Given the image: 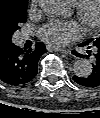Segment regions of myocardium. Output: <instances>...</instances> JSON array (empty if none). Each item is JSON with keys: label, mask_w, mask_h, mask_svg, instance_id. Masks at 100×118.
Returning a JSON list of instances; mask_svg holds the SVG:
<instances>
[{"label": "myocardium", "mask_w": 100, "mask_h": 118, "mask_svg": "<svg viewBox=\"0 0 100 118\" xmlns=\"http://www.w3.org/2000/svg\"><path fill=\"white\" fill-rule=\"evenodd\" d=\"M94 6L95 17L87 18L88 9ZM74 12L87 32L95 31L100 25V0H79L74 4Z\"/></svg>", "instance_id": "1"}]
</instances>
